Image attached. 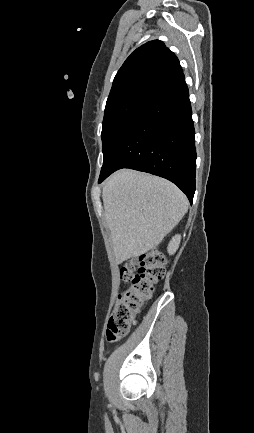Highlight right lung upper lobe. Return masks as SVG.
<instances>
[{"label":"right lung upper lobe","instance_id":"1","mask_svg":"<svg viewBox=\"0 0 254 433\" xmlns=\"http://www.w3.org/2000/svg\"><path fill=\"white\" fill-rule=\"evenodd\" d=\"M175 54L159 40L137 48L117 72L106 107L127 100H145L182 74Z\"/></svg>","mask_w":254,"mask_h":433}]
</instances>
